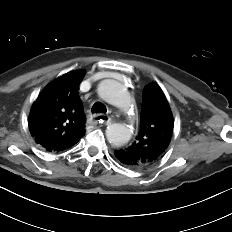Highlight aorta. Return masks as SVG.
Here are the masks:
<instances>
[{"mask_svg": "<svg viewBox=\"0 0 232 232\" xmlns=\"http://www.w3.org/2000/svg\"><path fill=\"white\" fill-rule=\"evenodd\" d=\"M98 95L104 101L123 110L131 107L132 100L124 86L116 80H103L98 86ZM132 130L123 124H111L106 129V137L109 143L120 147L129 142Z\"/></svg>", "mask_w": 232, "mask_h": 232, "instance_id": "762f6f07", "label": "aorta"}]
</instances>
